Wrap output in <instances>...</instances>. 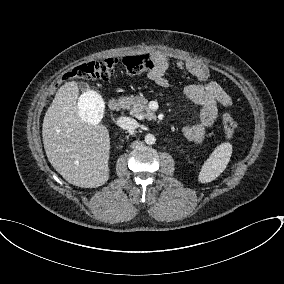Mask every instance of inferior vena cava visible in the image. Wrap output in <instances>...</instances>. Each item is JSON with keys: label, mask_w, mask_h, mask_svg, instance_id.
<instances>
[{"label": "inferior vena cava", "mask_w": 284, "mask_h": 284, "mask_svg": "<svg viewBox=\"0 0 284 284\" xmlns=\"http://www.w3.org/2000/svg\"><path fill=\"white\" fill-rule=\"evenodd\" d=\"M119 126L124 130H134L139 127V123L131 117H120L118 120Z\"/></svg>", "instance_id": "obj_1"}]
</instances>
